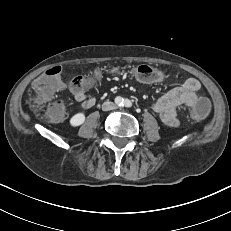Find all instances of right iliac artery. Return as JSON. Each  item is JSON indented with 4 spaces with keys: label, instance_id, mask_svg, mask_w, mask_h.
Returning <instances> with one entry per match:
<instances>
[{
    "label": "right iliac artery",
    "instance_id": "obj_1",
    "mask_svg": "<svg viewBox=\"0 0 231 231\" xmlns=\"http://www.w3.org/2000/svg\"><path fill=\"white\" fill-rule=\"evenodd\" d=\"M123 101H124V100H123L121 97H118V98L116 99V103L119 104L120 106L123 105Z\"/></svg>",
    "mask_w": 231,
    "mask_h": 231
}]
</instances>
